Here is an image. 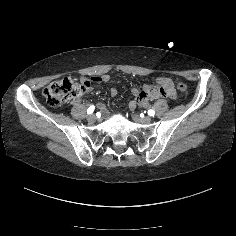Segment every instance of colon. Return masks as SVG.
<instances>
[{
  "instance_id": "1",
  "label": "colon",
  "mask_w": 236,
  "mask_h": 236,
  "mask_svg": "<svg viewBox=\"0 0 236 236\" xmlns=\"http://www.w3.org/2000/svg\"><path fill=\"white\" fill-rule=\"evenodd\" d=\"M177 89L186 95L187 85L179 80H175ZM91 81L89 78L82 77L78 80L72 78H63L50 83L43 91L46 102L52 107H58L64 103L79 98L89 89Z\"/></svg>"
}]
</instances>
